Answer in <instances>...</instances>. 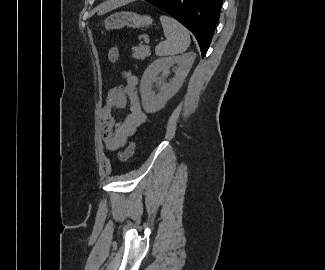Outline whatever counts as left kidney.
<instances>
[{
  "label": "left kidney",
  "mask_w": 325,
  "mask_h": 270,
  "mask_svg": "<svg viewBox=\"0 0 325 270\" xmlns=\"http://www.w3.org/2000/svg\"><path fill=\"white\" fill-rule=\"evenodd\" d=\"M195 58L196 54L189 52L180 56L159 58L147 67L140 83L142 106L145 112L155 113L164 108L167 101L181 88ZM173 66L177 67L175 76L168 83L161 84L157 75L160 72H168ZM154 83L159 89L158 94L152 90Z\"/></svg>",
  "instance_id": "obj_1"
}]
</instances>
